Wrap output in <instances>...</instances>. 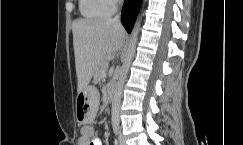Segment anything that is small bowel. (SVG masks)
<instances>
[{
	"mask_svg": "<svg viewBox=\"0 0 243 145\" xmlns=\"http://www.w3.org/2000/svg\"><path fill=\"white\" fill-rule=\"evenodd\" d=\"M78 145H102V142L98 137L94 136L93 128L86 126L80 131Z\"/></svg>",
	"mask_w": 243,
	"mask_h": 145,
	"instance_id": "small-bowel-1",
	"label": "small bowel"
}]
</instances>
